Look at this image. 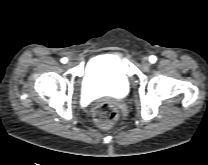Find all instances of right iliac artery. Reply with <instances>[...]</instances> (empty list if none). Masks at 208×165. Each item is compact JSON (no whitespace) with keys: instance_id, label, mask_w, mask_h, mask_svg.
I'll return each mask as SVG.
<instances>
[{"instance_id":"obj_1","label":"right iliac artery","mask_w":208,"mask_h":165,"mask_svg":"<svg viewBox=\"0 0 208 165\" xmlns=\"http://www.w3.org/2000/svg\"><path fill=\"white\" fill-rule=\"evenodd\" d=\"M67 61H68V60H67V58H65V57L61 59V62H62V63H66Z\"/></svg>"}]
</instances>
